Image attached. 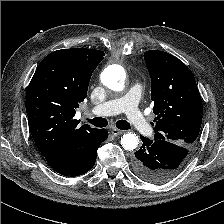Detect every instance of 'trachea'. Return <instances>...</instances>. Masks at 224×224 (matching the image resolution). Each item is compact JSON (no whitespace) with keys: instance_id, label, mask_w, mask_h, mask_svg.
Here are the masks:
<instances>
[{"instance_id":"obj_1","label":"trachea","mask_w":224,"mask_h":224,"mask_svg":"<svg viewBox=\"0 0 224 224\" xmlns=\"http://www.w3.org/2000/svg\"><path fill=\"white\" fill-rule=\"evenodd\" d=\"M88 121L96 127H106L108 125L107 119L102 117H95L93 119H88ZM116 127L121 130H128L131 128L130 124L125 120L117 121Z\"/></svg>"}]
</instances>
